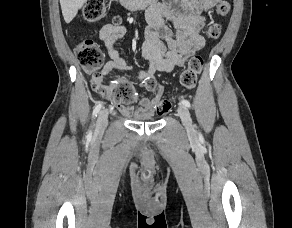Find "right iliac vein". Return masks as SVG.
<instances>
[{
  "instance_id": "obj_1",
  "label": "right iliac vein",
  "mask_w": 292,
  "mask_h": 228,
  "mask_svg": "<svg viewBox=\"0 0 292 228\" xmlns=\"http://www.w3.org/2000/svg\"><path fill=\"white\" fill-rule=\"evenodd\" d=\"M108 115L109 112L107 109H103L100 111L97 121H96V128H95V134L97 136H101L108 124Z\"/></svg>"
}]
</instances>
